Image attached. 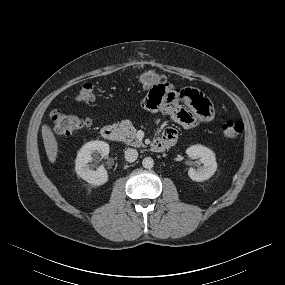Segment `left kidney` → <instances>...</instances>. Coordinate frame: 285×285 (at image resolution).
I'll return each mask as SVG.
<instances>
[{"instance_id": "1", "label": "left kidney", "mask_w": 285, "mask_h": 285, "mask_svg": "<svg viewBox=\"0 0 285 285\" xmlns=\"http://www.w3.org/2000/svg\"><path fill=\"white\" fill-rule=\"evenodd\" d=\"M186 154L190 157H199L203 167L195 170L190 168L188 176L194 181H204L209 179L217 170V162L215 154L212 150L202 145H193L186 150Z\"/></svg>"}]
</instances>
